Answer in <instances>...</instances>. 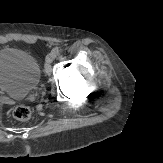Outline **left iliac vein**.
<instances>
[{"label": "left iliac vein", "instance_id": "left-iliac-vein-1", "mask_svg": "<svg viewBox=\"0 0 163 163\" xmlns=\"http://www.w3.org/2000/svg\"><path fill=\"white\" fill-rule=\"evenodd\" d=\"M56 57V53L54 51L50 52L47 56H46V68H49V65L53 62V60Z\"/></svg>", "mask_w": 163, "mask_h": 163}]
</instances>
